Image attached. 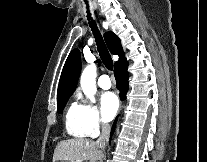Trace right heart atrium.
<instances>
[{
  "mask_svg": "<svg viewBox=\"0 0 207 162\" xmlns=\"http://www.w3.org/2000/svg\"><path fill=\"white\" fill-rule=\"evenodd\" d=\"M85 108V125L89 136H96L103 125L98 108L91 104L86 103Z\"/></svg>",
  "mask_w": 207,
  "mask_h": 162,
  "instance_id": "right-heart-atrium-1",
  "label": "right heart atrium"
}]
</instances>
